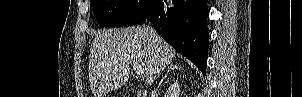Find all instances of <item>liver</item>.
Here are the masks:
<instances>
[{"instance_id": "obj_1", "label": "liver", "mask_w": 302, "mask_h": 97, "mask_svg": "<svg viewBox=\"0 0 302 97\" xmlns=\"http://www.w3.org/2000/svg\"><path fill=\"white\" fill-rule=\"evenodd\" d=\"M175 50L158 35L151 37L149 27L107 29L94 38L89 56V80L94 97L125 85L130 65L137 62L145 72V82L151 85L157 74L170 65Z\"/></svg>"}]
</instances>
